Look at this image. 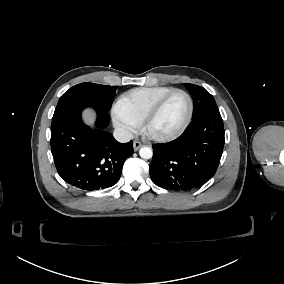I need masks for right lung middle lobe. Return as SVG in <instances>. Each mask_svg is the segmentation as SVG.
Returning a JSON list of instances; mask_svg holds the SVG:
<instances>
[{
    "label": "right lung middle lobe",
    "instance_id": "1",
    "mask_svg": "<svg viewBox=\"0 0 284 284\" xmlns=\"http://www.w3.org/2000/svg\"><path fill=\"white\" fill-rule=\"evenodd\" d=\"M116 87L94 83H81L66 91L58 101L54 115L73 106L93 107L108 112L115 97Z\"/></svg>",
    "mask_w": 284,
    "mask_h": 284
}]
</instances>
